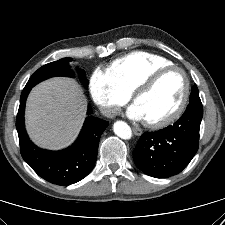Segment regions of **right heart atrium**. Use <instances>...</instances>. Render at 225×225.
I'll return each instance as SVG.
<instances>
[{
  "instance_id": "1",
  "label": "right heart atrium",
  "mask_w": 225,
  "mask_h": 225,
  "mask_svg": "<svg viewBox=\"0 0 225 225\" xmlns=\"http://www.w3.org/2000/svg\"><path fill=\"white\" fill-rule=\"evenodd\" d=\"M89 88L92 99L108 117L115 116L120 107L126 104L130 98L108 71L100 69L93 72Z\"/></svg>"
}]
</instances>
